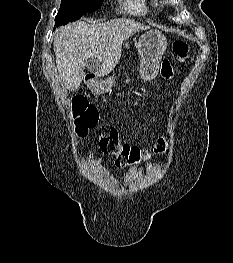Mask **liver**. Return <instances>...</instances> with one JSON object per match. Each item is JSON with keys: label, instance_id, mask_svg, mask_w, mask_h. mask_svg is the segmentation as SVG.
Masks as SVG:
<instances>
[{"label": "liver", "instance_id": "1", "mask_svg": "<svg viewBox=\"0 0 233 263\" xmlns=\"http://www.w3.org/2000/svg\"><path fill=\"white\" fill-rule=\"evenodd\" d=\"M148 28L129 18L92 25L78 21L63 27L54 37V52L64 87L69 91L79 88L89 58L97 76L108 75L121 58L122 43Z\"/></svg>", "mask_w": 233, "mask_h": 263}]
</instances>
